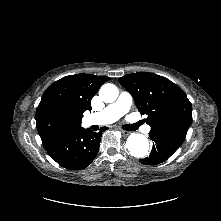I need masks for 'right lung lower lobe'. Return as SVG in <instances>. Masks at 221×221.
Wrapping results in <instances>:
<instances>
[{
  "instance_id": "right-lung-lower-lobe-1",
  "label": "right lung lower lobe",
  "mask_w": 221,
  "mask_h": 221,
  "mask_svg": "<svg viewBox=\"0 0 221 221\" xmlns=\"http://www.w3.org/2000/svg\"><path fill=\"white\" fill-rule=\"evenodd\" d=\"M101 136V131L96 133L80 129L44 147L60 166L80 170L89 166L96 157Z\"/></svg>"
}]
</instances>
